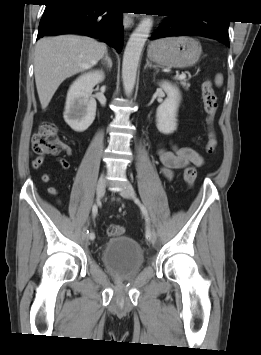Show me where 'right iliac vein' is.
Masks as SVG:
<instances>
[{
    "label": "right iliac vein",
    "mask_w": 261,
    "mask_h": 355,
    "mask_svg": "<svg viewBox=\"0 0 261 355\" xmlns=\"http://www.w3.org/2000/svg\"><path fill=\"white\" fill-rule=\"evenodd\" d=\"M105 187H106V179H105L104 175H101V177L98 179L97 186H96V194H97V198L98 199L103 197L104 192H105ZM85 230L86 229H84L83 233H82V238L83 239L87 238Z\"/></svg>",
    "instance_id": "63e3f726"
}]
</instances>
